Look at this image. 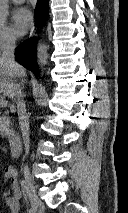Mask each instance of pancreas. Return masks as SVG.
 Wrapping results in <instances>:
<instances>
[{"mask_svg":"<svg viewBox=\"0 0 128 213\" xmlns=\"http://www.w3.org/2000/svg\"><path fill=\"white\" fill-rule=\"evenodd\" d=\"M11 126V118L8 116H0V134L5 137L9 134Z\"/></svg>","mask_w":128,"mask_h":213,"instance_id":"obj_1","label":"pancreas"}]
</instances>
